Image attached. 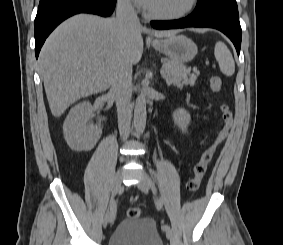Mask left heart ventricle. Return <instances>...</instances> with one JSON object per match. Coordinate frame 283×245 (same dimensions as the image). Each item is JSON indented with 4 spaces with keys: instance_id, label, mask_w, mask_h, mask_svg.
Segmentation results:
<instances>
[{
    "instance_id": "left-heart-ventricle-1",
    "label": "left heart ventricle",
    "mask_w": 283,
    "mask_h": 245,
    "mask_svg": "<svg viewBox=\"0 0 283 245\" xmlns=\"http://www.w3.org/2000/svg\"><path fill=\"white\" fill-rule=\"evenodd\" d=\"M189 0H150L147 10L159 14H174L184 9Z\"/></svg>"
}]
</instances>
